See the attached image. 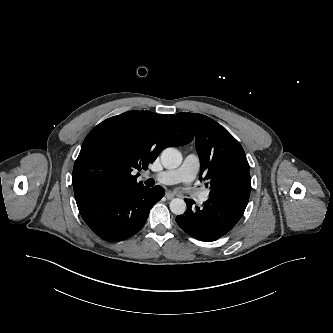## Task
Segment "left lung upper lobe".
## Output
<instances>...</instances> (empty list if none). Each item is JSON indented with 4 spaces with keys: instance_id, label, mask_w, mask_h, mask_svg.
I'll return each mask as SVG.
<instances>
[{
    "instance_id": "1",
    "label": "left lung upper lobe",
    "mask_w": 333,
    "mask_h": 333,
    "mask_svg": "<svg viewBox=\"0 0 333 333\" xmlns=\"http://www.w3.org/2000/svg\"><path fill=\"white\" fill-rule=\"evenodd\" d=\"M177 115L195 134L201 163L200 178L206 180L211 189L229 177L249 173V164L242 146L224 127L202 114Z\"/></svg>"
}]
</instances>
